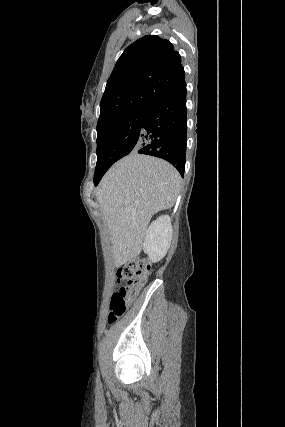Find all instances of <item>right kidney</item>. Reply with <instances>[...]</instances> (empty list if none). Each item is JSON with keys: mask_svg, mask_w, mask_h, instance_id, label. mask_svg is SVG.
<instances>
[{"mask_svg": "<svg viewBox=\"0 0 285 427\" xmlns=\"http://www.w3.org/2000/svg\"><path fill=\"white\" fill-rule=\"evenodd\" d=\"M172 225L168 215L160 216L149 226L143 250L153 262L160 261L167 253L172 239Z\"/></svg>", "mask_w": 285, "mask_h": 427, "instance_id": "ca27d5eb", "label": "right kidney"}]
</instances>
